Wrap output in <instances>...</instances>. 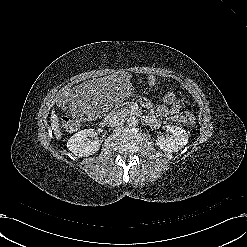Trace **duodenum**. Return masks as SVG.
<instances>
[{"label": "duodenum", "mask_w": 247, "mask_h": 247, "mask_svg": "<svg viewBox=\"0 0 247 247\" xmlns=\"http://www.w3.org/2000/svg\"><path fill=\"white\" fill-rule=\"evenodd\" d=\"M131 114H133V115H136V114H138V111L136 110V109H134V110H131V112H130ZM118 117H110V118H108L107 120H105V122H110V121H112V120H116Z\"/></svg>", "instance_id": "410a0bca"}]
</instances>
